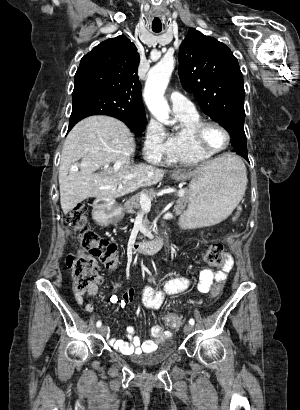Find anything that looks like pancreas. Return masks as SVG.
I'll use <instances>...</instances> for the list:
<instances>
[{
    "instance_id": "cf45deb5",
    "label": "pancreas",
    "mask_w": 300,
    "mask_h": 410,
    "mask_svg": "<svg viewBox=\"0 0 300 410\" xmlns=\"http://www.w3.org/2000/svg\"><path fill=\"white\" fill-rule=\"evenodd\" d=\"M182 190H184L186 194L177 200V204L174 207V212L177 215L183 213L184 209L187 206V203L189 202L188 190L187 189H182ZM145 194H147L151 200L155 197L154 192H145ZM140 195L141 194H136L132 196L128 201H126L124 204V210L129 213H134V209H138L139 212H141Z\"/></svg>"
}]
</instances>
